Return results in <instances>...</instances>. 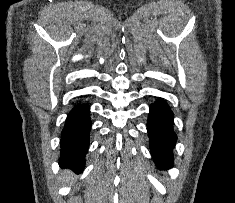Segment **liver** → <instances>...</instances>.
Listing matches in <instances>:
<instances>
[{"mask_svg":"<svg viewBox=\"0 0 235 203\" xmlns=\"http://www.w3.org/2000/svg\"><path fill=\"white\" fill-rule=\"evenodd\" d=\"M66 178H68V173L66 174Z\"/></svg>","mask_w":235,"mask_h":203,"instance_id":"6515ba94","label":"liver"}]
</instances>
